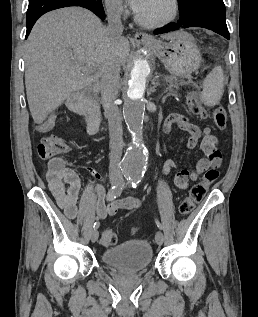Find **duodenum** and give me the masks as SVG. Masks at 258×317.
Segmentation results:
<instances>
[{
  "label": "duodenum",
  "instance_id": "obj_1",
  "mask_svg": "<svg viewBox=\"0 0 258 317\" xmlns=\"http://www.w3.org/2000/svg\"><path fill=\"white\" fill-rule=\"evenodd\" d=\"M76 107L80 110L83 109L85 107V101L78 103Z\"/></svg>",
  "mask_w": 258,
  "mask_h": 317
}]
</instances>
